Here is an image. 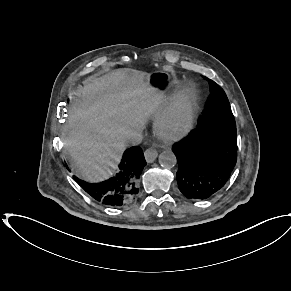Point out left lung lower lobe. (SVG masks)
Segmentation results:
<instances>
[{"label":"left lung lower lobe","mask_w":291,"mask_h":291,"mask_svg":"<svg viewBox=\"0 0 291 291\" xmlns=\"http://www.w3.org/2000/svg\"><path fill=\"white\" fill-rule=\"evenodd\" d=\"M177 157L178 188L188 199L204 200L226 184L237 159L236 129L198 126L173 146Z\"/></svg>","instance_id":"1"}]
</instances>
